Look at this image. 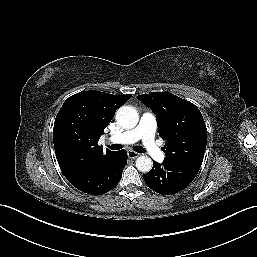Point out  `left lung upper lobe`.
<instances>
[{"label":"left lung upper lobe","instance_id":"1","mask_svg":"<svg viewBox=\"0 0 257 257\" xmlns=\"http://www.w3.org/2000/svg\"><path fill=\"white\" fill-rule=\"evenodd\" d=\"M137 98L156 114L159 134L166 140L164 160L199 170L207 144V129L199 109L169 92Z\"/></svg>","mask_w":257,"mask_h":257}]
</instances>
